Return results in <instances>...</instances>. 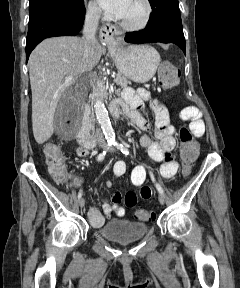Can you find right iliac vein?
<instances>
[{
	"label": "right iliac vein",
	"mask_w": 240,
	"mask_h": 288,
	"mask_svg": "<svg viewBox=\"0 0 240 288\" xmlns=\"http://www.w3.org/2000/svg\"><path fill=\"white\" fill-rule=\"evenodd\" d=\"M84 205H85V199L82 197V198L79 199V206H80L81 208H83Z\"/></svg>",
	"instance_id": "1"
}]
</instances>
